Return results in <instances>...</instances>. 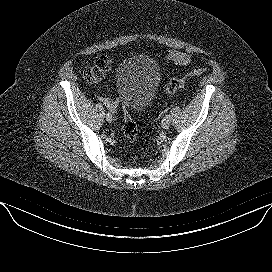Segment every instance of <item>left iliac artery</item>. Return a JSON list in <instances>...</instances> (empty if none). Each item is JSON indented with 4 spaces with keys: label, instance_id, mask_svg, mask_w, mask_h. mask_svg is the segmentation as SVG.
I'll list each match as a JSON object with an SVG mask.
<instances>
[{
    "label": "left iliac artery",
    "instance_id": "obj_1",
    "mask_svg": "<svg viewBox=\"0 0 272 272\" xmlns=\"http://www.w3.org/2000/svg\"><path fill=\"white\" fill-rule=\"evenodd\" d=\"M170 118H171V115H170V114H167L166 117L164 118V120L170 119Z\"/></svg>",
    "mask_w": 272,
    "mask_h": 272
}]
</instances>
